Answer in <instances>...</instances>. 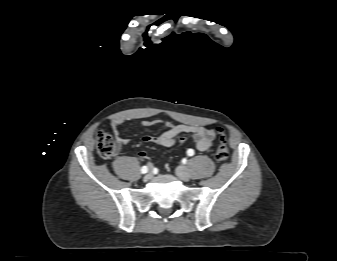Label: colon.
<instances>
[{
    "mask_svg": "<svg viewBox=\"0 0 337 261\" xmlns=\"http://www.w3.org/2000/svg\"><path fill=\"white\" fill-rule=\"evenodd\" d=\"M215 132L219 134L220 141L215 151V159L219 162H223L228 159L229 151L226 145V138L222 128L217 127ZM96 148L99 156L102 159L111 158L117 151V145L111 135L104 131H98L96 133Z\"/></svg>",
    "mask_w": 337,
    "mask_h": 261,
    "instance_id": "5ec220e1",
    "label": "colon"
}]
</instances>
